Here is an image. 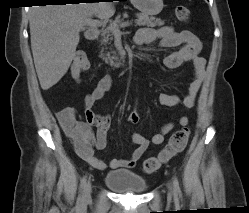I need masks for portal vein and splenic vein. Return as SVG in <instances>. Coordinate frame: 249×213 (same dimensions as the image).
<instances>
[{
	"label": "portal vein and splenic vein",
	"instance_id": "obj_1",
	"mask_svg": "<svg viewBox=\"0 0 249 213\" xmlns=\"http://www.w3.org/2000/svg\"><path fill=\"white\" fill-rule=\"evenodd\" d=\"M85 24L91 27H100L105 24V21L103 20H93L91 18H88L85 20ZM130 26L129 22H123L119 26L113 27L114 34H119L120 33V28H125Z\"/></svg>",
	"mask_w": 249,
	"mask_h": 213
}]
</instances>
